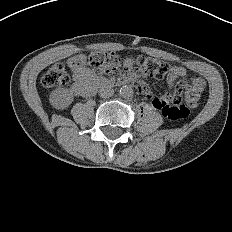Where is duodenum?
I'll list each match as a JSON object with an SVG mask.
<instances>
[{"label":"duodenum","mask_w":232,"mask_h":232,"mask_svg":"<svg viewBox=\"0 0 232 232\" xmlns=\"http://www.w3.org/2000/svg\"><path fill=\"white\" fill-rule=\"evenodd\" d=\"M133 79H125L122 81H112L105 78H97L90 82L86 90V96H92L98 89L106 87L124 86L132 82Z\"/></svg>","instance_id":"duodenum-1"}]
</instances>
